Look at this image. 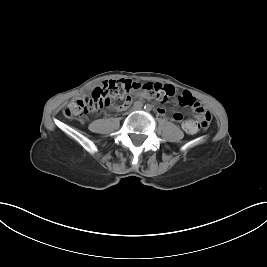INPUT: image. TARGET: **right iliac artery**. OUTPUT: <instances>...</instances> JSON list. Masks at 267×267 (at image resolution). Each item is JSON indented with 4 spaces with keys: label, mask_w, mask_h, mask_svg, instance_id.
<instances>
[{
    "label": "right iliac artery",
    "mask_w": 267,
    "mask_h": 267,
    "mask_svg": "<svg viewBox=\"0 0 267 267\" xmlns=\"http://www.w3.org/2000/svg\"><path fill=\"white\" fill-rule=\"evenodd\" d=\"M142 106H143V103H142L141 101H136V102L134 103V107H135L136 109H140V108H142Z\"/></svg>",
    "instance_id": "1"
}]
</instances>
